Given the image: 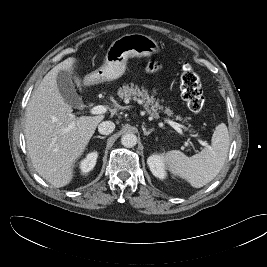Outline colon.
Here are the masks:
<instances>
[{
  "mask_svg": "<svg viewBox=\"0 0 267 267\" xmlns=\"http://www.w3.org/2000/svg\"><path fill=\"white\" fill-rule=\"evenodd\" d=\"M180 91L183 100L191 111L200 112L203 110L205 99L200 80L190 64H185L182 68Z\"/></svg>",
  "mask_w": 267,
  "mask_h": 267,
  "instance_id": "5ec220e1",
  "label": "colon"
}]
</instances>
